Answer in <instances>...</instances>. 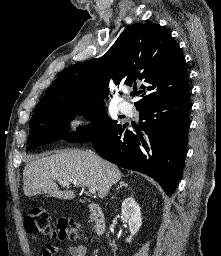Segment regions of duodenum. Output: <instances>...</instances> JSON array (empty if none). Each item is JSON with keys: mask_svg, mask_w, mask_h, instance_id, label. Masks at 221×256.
Wrapping results in <instances>:
<instances>
[{"mask_svg": "<svg viewBox=\"0 0 221 256\" xmlns=\"http://www.w3.org/2000/svg\"><path fill=\"white\" fill-rule=\"evenodd\" d=\"M91 220L93 223L94 234L99 238L106 231V220L101 207L96 203H91L88 205Z\"/></svg>", "mask_w": 221, "mask_h": 256, "instance_id": "1", "label": "duodenum"}]
</instances>
